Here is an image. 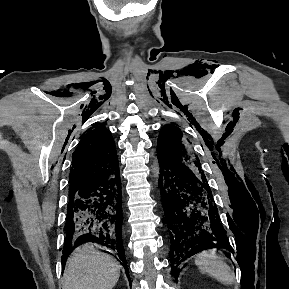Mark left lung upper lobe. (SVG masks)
<instances>
[{
  "instance_id": "5c2ea615",
  "label": "left lung upper lobe",
  "mask_w": 289,
  "mask_h": 289,
  "mask_svg": "<svg viewBox=\"0 0 289 289\" xmlns=\"http://www.w3.org/2000/svg\"><path fill=\"white\" fill-rule=\"evenodd\" d=\"M158 155L189 166L195 174L206 181L199 159L182 140L181 130L174 124L165 125L159 134L157 143Z\"/></svg>"
}]
</instances>
